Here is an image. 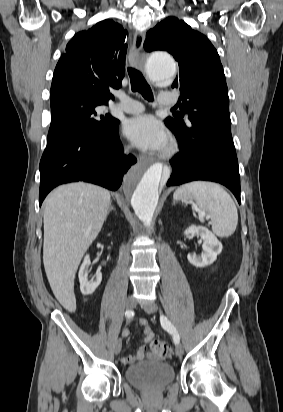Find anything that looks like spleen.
I'll return each mask as SVG.
<instances>
[{
	"label": "spleen",
	"instance_id": "1",
	"mask_svg": "<svg viewBox=\"0 0 283 412\" xmlns=\"http://www.w3.org/2000/svg\"><path fill=\"white\" fill-rule=\"evenodd\" d=\"M175 200H195L202 212L212 222V231L219 237L231 236L238 224V213L230 195L218 184L194 181L180 186L174 193Z\"/></svg>",
	"mask_w": 283,
	"mask_h": 412
}]
</instances>
